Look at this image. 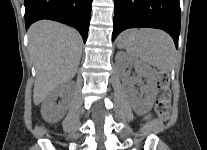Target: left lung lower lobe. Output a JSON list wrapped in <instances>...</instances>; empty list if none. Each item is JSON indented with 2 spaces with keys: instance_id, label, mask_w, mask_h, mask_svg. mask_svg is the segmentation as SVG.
Masks as SVG:
<instances>
[{
  "instance_id": "0a47b994",
  "label": "left lung lower lobe",
  "mask_w": 207,
  "mask_h": 150,
  "mask_svg": "<svg viewBox=\"0 0 207 150\" xmlns=\"http://www.w3.org/2000/svg\"><path fill=\"white\" fill-rule=\"evenodd\" d=\"M112 41L128 28L152 27L166 31L176 48L180 34L179 0H114Z\"/></svg>"
}]
</instances>
